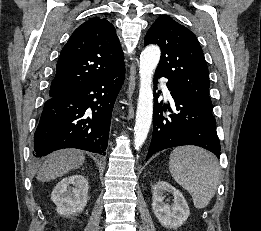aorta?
Segmentation results:
<instances>
[{
  "label": "aorta",
  "mask_w": 261,
  "mask_h": 231,
  "mask_svg": "<svg viewBox=\"0 0 261 231\" xmlns=\"http://www.w3.org/2000/svg\"><path fill=\"white\" fill-rule=\"evenodd\" d=\"M161 56L156 45L147 46L140 56V89L134 127V146L139 150L150 130L153 115L152 77Z\"/></svg>",
  "instance_id": "1"
}]
</instances>
